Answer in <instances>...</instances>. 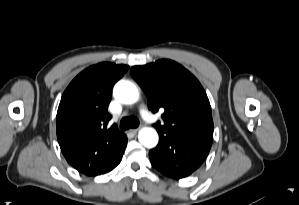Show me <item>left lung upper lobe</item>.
<instances>
[{
  "label": "left lung upper lobe",
  "mask_w": 299,
  "mask_h": 205,
  "mask_svg": "<svg viewBox=\"0 0 299 205\" xmlns=\"http://www.w3.org/2000/svg\"><path fill=\"white\" fill-rule=\"evenodd\" d=\"M132 77L148 98L152 112L164 109V125L158 132L184 133L213 138V120L208 97L199 81L172 60L133 66Z\"/></svg>",
  "instance_id": "5c2ea615"
}]
</instances>
